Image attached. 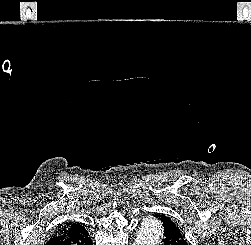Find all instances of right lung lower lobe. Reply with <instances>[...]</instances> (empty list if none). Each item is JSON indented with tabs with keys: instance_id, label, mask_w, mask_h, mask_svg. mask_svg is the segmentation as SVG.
Masks as SVG:
<instances>
[{
	"instance_id": "right-lung-lower-lobe-1",
	"label": "right lung lower lobe",
	"mask_w": 251,
	"mask_h": 245,
	"mask_svg": "<svg viewBox=\"0 0 251 245\" xmlns=\"http://www.w3.org/2000/svg\"><path fill=\"white\" fill-rule=\"evenodd\" d=\"M57 231L45 245H92L91 238L85 228L76 231L68 230L63 233Z\"/></svg>"
}]
</instances>
